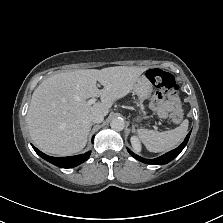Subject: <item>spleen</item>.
Here are the masks:
<instances>
[{"label":"spleen","instance_id":"spleen-1","mask_svg":"<svg viewBox=\"0 0 223 223\" xmlns=\"http://www.w3.org/2000/svg\"><path fill=\"white\" fill-rule=\"evenodd\" d=\"M187 130L188 120H184L179 127L165 132L138 129V136L150 152L157 153L168 151L179 144Z\"/></svg>","mask_w":223,"mask_h":223}]
</instances>
